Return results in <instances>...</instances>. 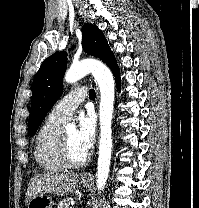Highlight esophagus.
<instances>
[{
	"label": "esophagus",
	"instance_id": "esophagus-1",
	"mask_svg": "<svg viewBox=\"0 0 199 208\" xmlns=\"http://www.w3.org/2000/svg\"><path fill=\"white\" fill-rule=\"evenodd\" d=\"M91 177H92V175H91L90 172H86V173H84V174L82 175V178H83V179H88V178H91Z\"/></svg>",
	"mask_w": 199,
	"mask_h": 208
}]
</instances>
